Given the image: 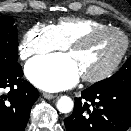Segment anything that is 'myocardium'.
Here are the masks:
<instances>
[{
	"instance_id": "1",
	"label": "myocardium",
	"mask_w": 131,
	"mask_h": 131,
	"mask_svg": "<svg viewBox=\"0 0 131 131\" xmlns=\"http://www.w3.org/2000/svg\"><path fill=\"white\" fill-rule=\"evenodd\" d=\"M107 32H113L119 34L123 40L124 44L123 47L118 54V56L115 58V60L103 71L93 74V75H82V79L87 82H99L102 81L106 78H108L120 65L121 61L123 60L124 56L127 53V50L129 48V38L128 36L119 28L116 27H102V28H97L90 30L83 35L79 36L78 38L74 39L72 42H70L66 48L67 50H71L73 48H79L85 46L92 38H94L97 35L107 33Z\"/></svg>"
}]
</instances>
